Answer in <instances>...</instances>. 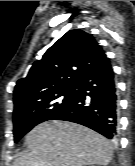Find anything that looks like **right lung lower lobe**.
<instances>
[{
    "label": "right lung lower lobe",
    "mask_w": 135,
    "mask_h": 166,
    "mask_svg": "<svg viewBox=\"0 0 135 166\" xmlns=\"http://www.w3.org/2000/svg\"><path fill=\"white\" fill-rule=\"evenodd\" d=\"M75 88L73 102L52 119L79 123L109 139H115L118 127V101L114 72L109 59L83 76Z\"/></svg>",
    "instance_id": "obj_1"
}]
</instances>
